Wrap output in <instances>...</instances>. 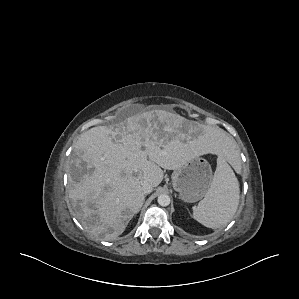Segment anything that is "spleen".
Listing matches in <instances>:
<instances>
[{"label":"spleen","instance_id":"spleen-1","mask_svg":"<svg viewBox=\"0 0 299 299\" xmlns=\"http://www.w3.org/2000/svg\"><path fill=\"white\" fill-rule=\"evenodd\" d=\"M227 161L225 153L219 154L211 187L193 210V218L208 228L226 225L238 208L239 182Z\"/></svg>","mask_w":299,"mask_h":299}]
</instances>
